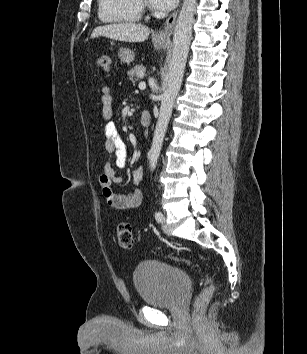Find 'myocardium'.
I'll list each match as a JSON object with an SVG mask.
<instances>
[{
    "label": "myocardium",
    "mask_w": 307,
    "mask_h": 354,
    "mask_svg": "<svg viewBox=\"0 0 307 354\" xmlns=\"http://www.w3.org/2000/svg\"><path fill=\"white\" fill-rule=\"evenodd\" d=\"M137 5L140 9H145L147 6V3L145 0H136Z\"/></svg>",
    "instance_id": "f54148a6"
}]
</instances>
